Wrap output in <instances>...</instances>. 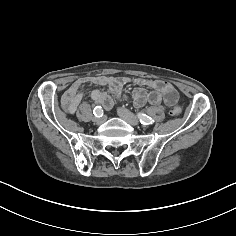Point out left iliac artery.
Returning a JSON list of instances; mask_svg holds the SVG:
<instances>
[{
    "label": "left iliac artery",
    "mask_w": 236,
    "mask_h": 236,
    "mask_svg": "<svg viewBox=\"0 0 236 236\" xmlns=\"http://www.w3.org/2000/svg\"><path fill=\"white\" fill-rule=\"evenodd\" d=\"M137 117H138L139 121L141 122V124L151 125L154 123V120L144 113H138Z\"/></svg>",
    "instance_id": "obj_1"
}]
</instances>
